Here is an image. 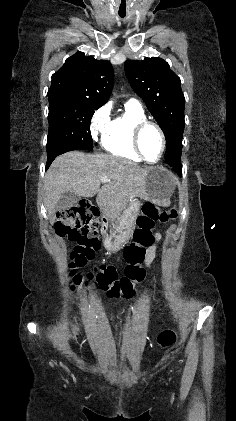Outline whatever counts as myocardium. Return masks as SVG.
Listing matches in <instances>:
<instances>
[{
	"label": "myocardium",
	"instance_id": "f54148a6",
	"mask_svg": "<svg viewBox=\"0 0 236 421\" xmlns=\"http://www.w3.org/2000/svg\"><path fill=\"white\" fill-rule=\"evenodd\" d=\"M146 127H153L159 133V135L161 137L162 153H161L160 158L156 162L149 161L147 159V157L145 156V154L143 153L142 148H141V134ZM132 141H133L135 151L137 152L139 157L144 162L153 165V164H157V163L161 162L162 159L164 158L166 148H167V139H166V135H165L163 129L157 123H155L153 121H148V120H142V121L138 122L134 126L133 131H132Z\"/></svg>",
	"mask_w": 236,
	"mask_h": 421
}]
</instances>
